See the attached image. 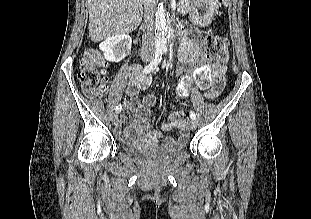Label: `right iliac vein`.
<instances>
[{"label": "right iliac vein", "instance_id": "right-iliac-vein-1", "mask_svg": "<svg viewBox=\"0 0 311 219\" xmlns=\"http://www.w3.org/2000/svg\"><path fill=\"white\" fill-rule=\"evenodd\" d=\"M143 60L144 61H149L150 60V58L148 57V56H145V57H143ZM112 123L114 124V125H118V123H119V118H118V115L117 114H114L113 116H112Z\"/></svg>", "mask_w": 311, "mask_h": 219}]
</instances>
